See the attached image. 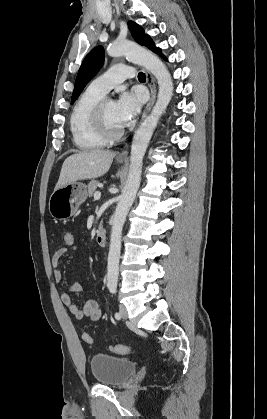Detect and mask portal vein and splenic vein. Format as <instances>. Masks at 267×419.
Wrapping results in <instances>:
<instances>
[{"mask_svg":"<svg viewBox=\"0 0 267 419\" xmlns=\"http://www.w3.org/2000/svg\"><path fill=\"white\" fill-rule=\"evenodd\" d=\"M100 197H101V192H99V191L95 192L94 199L98 200V199H100Z\"/></svg>","mask_w":267,"mask_h":419,"instance_id":"obj_1","label":"portal vein and splenic vein"}]
</instances>
